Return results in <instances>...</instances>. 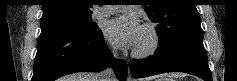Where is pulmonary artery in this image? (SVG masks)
I'll return each instance as SVG.
<instances>
[{
    "label": "pulmonary artery",
    "instance_id": "1",
    "mask_svg": "<svg viewBox=\"0 0 237 81\" xmlns=\"http://www.w3.org/2000/svg\"><path fill=\"white\" fill-rule=\"evenodd\" d=\"M113 11V9H110V10H108V11H104L103 13L104 14H108V13H111Z\"/></svg>",
    "mask_w": 237,
    "mask_h": 81
}]
</instances>
